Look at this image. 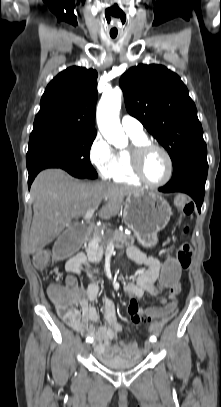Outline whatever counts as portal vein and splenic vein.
Returning <instances> with one entry per match:
<instances>
[{"instance_id":"obj_1","label":"portal vein and splenic vein","mask_w":221,"mask_h":407,"mask_svg":"<svg viewBox=\"0 0 221 407\" xmlns=\"http://www.w3.org/2000/svg\"><path fill=\"white\" fill-rule=\"evenodd\" d=\"M98 207L89 209L83 216L85 220H90L93 217L94 212L97 210Z\"/></svg>"}]
</instances>
